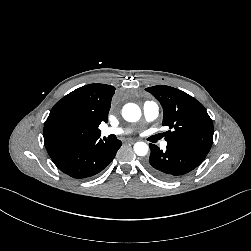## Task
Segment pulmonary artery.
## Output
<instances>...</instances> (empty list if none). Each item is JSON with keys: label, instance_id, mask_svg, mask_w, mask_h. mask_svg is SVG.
<instances>
[{"label": "pulmonary artery", "instance_id": "e3ab8cb5", "mask_svg": "<svg viewBox=\"0 0 251 251\" xmlns=\"http://www.w3.org/2000/svg\"><path fill=\"white\" fill-rule=\"evenodd\" d=\"M159 114V107L153 101H146L143 105V115L144 119L147 122H151L158 117ZM125 130L120 127H105L101 130L102 136H109V135H119L123 134ZM167 142L162 143V147H166Z\"/></svg>", "mask_w": 251, "mask_h": 251}]
</instances>
